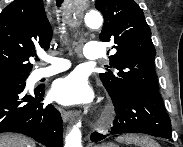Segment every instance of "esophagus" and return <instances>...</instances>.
I'll list each match as a JSON object with an SVG mask.
<instances>
[{
    "instance_id": "1",
    "label": "esophagus",
    "mask_w": 183,
    "mask_h": 147,
    "mask_svg": "<svg viewBox=\"0 0 183 147\" xmlns=\"http://www.w3.org/2000/svg\"><path fill=\"white\" fill-rule=\"evenodd\" d=\"M62 118L64 122H67L69 120H72L74 118V115L71 111H62Z\"/></svg>"
}]
</instances>
